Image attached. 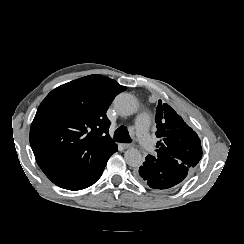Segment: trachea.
I'll return each mask as SVG.
<instances>
[{"label": "trachea", "instance_id": "3493384b", "mask_svg": "<svg viewBox=\"0 0 244 244\" xmlns=\"http://www.w3.org/2000/svg\"><path fill=\"white\" fill-rule=\"evenodd\" d=\"M114 139L117 142L131 143L133 140L130 138L126 127H119L114 133Z\"/></svg>", "mask_w": 244, "mask_h": 244}]
</instances>
